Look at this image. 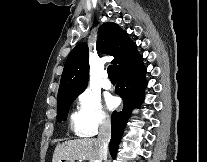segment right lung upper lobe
<instances>
[{
    "mask_svg": "<svg viewBox=\"0 0 207 162\" xmlns=\"http://www.w3.org/2000/svg\"><path fill=\"white\" fill-rule=\"evenodd\" d=\"M97 49L114 57L112 64L115 72L136 59L140 54L136 44L117 24L104 23L98 30ZM88 47L85 42L78 44L69 54L58 91V99L78 96L88 82Z\"/></svg>",
    "mask_w": 207,
    "mask_h": 162,
    "instance_id": "1",
    "label": "right lung upper lobe"
}]
</instances>
